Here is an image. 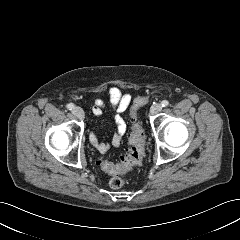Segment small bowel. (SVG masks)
<instances>
[{
  "label": "small bowel",
  "mask_w": 240,
  "mask_h": 240,
  "mask_svg": "<svg viewBox=\"0 0 240 240\" xmlns=\"http://www.w3.org/2000/svg\"><path fill=\"white\" fill-rule=\"evenodd\" d=\"M109 101L115 111L114 124L115 130L109 142H102L95 133L89 135L90 143L102 154L108 152L111 147H118L122 143L123 136L126 133L127 125L122 117V113L127 110L131 103V95L123 92L117 86L109 88ZM105 103L102 99H95L92 112L96 117L103 114Z\"/></svg>",
  "instance_id": "c3829d8e"
}]
</instances>
